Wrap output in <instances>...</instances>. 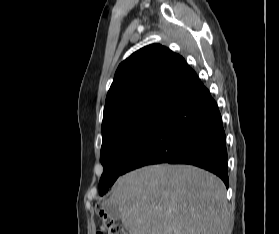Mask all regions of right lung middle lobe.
Listing matches in <instances>:
<instances>
[{
	"label": "right lung middle lobe",
	"mask_w": 279,
	"mask_h": 234,
	"mask_svg": "<svg viewBox=\"0 0 279 234\" xmlns=\"http://www.w3.org/2000/svg\"><path fill=\"white\" fill-rule=\"evenodd\" d=\"M169 107L150 105L121 113L102 124L101 163L104 167L99 194L104 195L131 155L160 121Z\"/></svg>",
	"instance_id": "1"
}]
</instances>
